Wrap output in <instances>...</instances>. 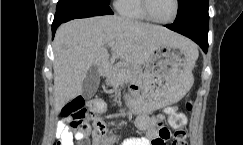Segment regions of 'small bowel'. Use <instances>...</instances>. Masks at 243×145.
Returning a JSON list of instances; mask_svg holds the SVG:
<instances>
[{
  "mask_svg": "<svg viewBox=\"0 0 243 145\" xmlns=\"http://www.w3.org/2000/svg\"><path fill=\"white\" fill-rule=\"evenodd\" d=\"M93 111L94 131L89 145H115L118 137L114 134H107L105 123L96 114L106 111V104L100 99H94L88 103ZM162 115H147L141 113L135 120L136 127L145 132L144 137H130L123 140L119 145H166L170 139L169 129L165 136L156 129V124L161 121ZM68 121H59L56 126L57 145H74V140H83L85 135L82 132H73L67 124Z\"/></svg>",
  "mask_w": 243,
  "mask_h": 145,
  "instance_id": "c3829d8e",
  "label": "small bowel"
}]
</instances>
